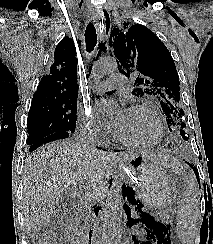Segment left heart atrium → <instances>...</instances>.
Returning <instances> with one entry per match:
<instances>
[{"mask_svg":"<svg viewBox=\"0 0 213 244\" xmlns=\"http://www.w3.org/2000/svg\"><path fill=\"white\" fill-rule=\"evenodd\" d=\"M103 108V104L99 103L98 104V109L102 110ZM128 110L127 109H122L118 112L117 116L115 117V119L112 122V126L115 130H117V128L123 123L126 114H127Z\"/></svg>","mask_w":213,"mask_h":244,"instance_id":"obj_1","label":"left heart atrium"}]
</instances>
